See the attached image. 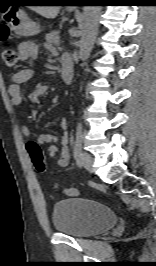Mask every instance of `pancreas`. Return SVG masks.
I'll list each match as a JSON object with an SVG mask.
<instances>
[{
	"instance_id": "obj_1",
	"label": "pancreas",
	"mask_w": 156,
	"mask_h": 266,
	"mask_svg": "<svg viewBox=\"0 0 156 266\" xmlns=\"http://www.w3.org/2000/svg\"><path fill=\"white\" fill-rule=\"evenodd\" d=\"M45 39L48 45H56V42L59 41V31L50 32Z\"/></svg>"
}]
</instances>
